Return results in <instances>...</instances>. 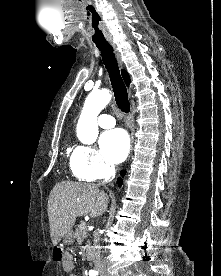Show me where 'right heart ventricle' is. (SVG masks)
I'll list each match as a JSON object with an SVG mask.
<instances>
[{
	"label": "right heart ventricle",
	"instance_id": "1",
	"mask_svg": "<svg viewBox=\"0 0 221 276\" xmlns=\"http://www.w3.org/2000/svg\"><path fill=\"white\" fill-rule=\"evenodd\" d=\"M70 165H71L72 172L74 173V175H76V173L74 172V169H73V167H72L71 161H70ZM76 176H77V175H76Z\"/></svg>",
	"mask_w": 221,
	"mask_h": 276
}]
</instances>
